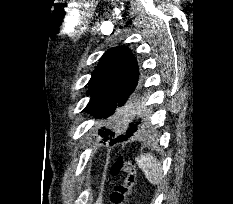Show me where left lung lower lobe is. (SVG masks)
<instances>
[{
    "instance_id": "left-lung-lower-lobe-1",
    "label": "left lung lower lobe",
    "mask_w": 233,
    "mask_h": 204,
    "mask_svg": "<svg viewBox=\"0 0 233 204\" xmlns=\"http://www.w3.org/2000/svg\"><path fill=\"white\" fill-rule=\"evenodd\" d=\"M137 85H135L134 87H131L130 89H128L126 91V93L124 94V97H123V104L126 103V101L128 100L129 96L133 93V91L135 90ZM142 121L141 119H137V120H134L133 122H131L129 124V128L127 129L125 135H121V136H118L116 137L115 139H112L110 141V145H113L117 142H121V141H126L127 138L131 137L134 135L135 132H137L141 126H142Z\"/></svg>"
}]
</instances>
